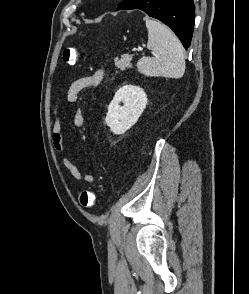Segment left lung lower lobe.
<instances>
[{"label":"left lung lower lobe","instance_id":"0a47b994","mask_svg":"<svg viewBox=\"0 0 249 294\" xmlns=\"http://www.w3.org/2000/svg\"><path fill=\"white\" fill-rule=\"evenodd\" d=\"M140 9L169 26L185 49L190 46L194 27L193 0H125L118 10Z\"/></svg>","mask_w":249,"mask_h":294}]
</instances>
